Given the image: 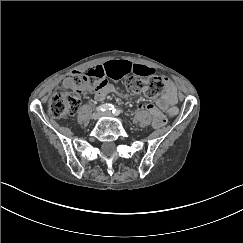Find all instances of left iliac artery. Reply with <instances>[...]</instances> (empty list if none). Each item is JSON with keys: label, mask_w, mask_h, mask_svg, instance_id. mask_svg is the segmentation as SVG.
Here are the masks:
<instances>
[{"label": "left iliac artery", "mask_w": 243, "mask_h": 243, "mask_svg": "<svg viewBox=\"0 0 243 243\" xmlns=\"http://www.w3.org/2000/svg\"><path fill=\"white\" fill-rule=\"evenodd\" d=\"M121 112H122L121 109H114V110L112 111V113H113L114 115H116V116H118L119 114H121Z\"/></svg>", "instance_id": "1"}]
</instances>
